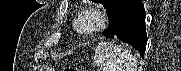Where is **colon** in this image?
Wrapping results in <instances>:
<instances>
[{
	"label": "colon",
	"mask_w": 181,
	"mask_h": 71,
	"mask_svg": "<svg viewBox=\"0 0 181 71\" xmlns=\"http://www.w3.org/2000/svg\"><path fill=\"white\" fill-rule=\"evenodd\" d=\"M64 70L65 71H82V69H78V68L73 67V66H67Z\"/></svg>",
	"instance_id": "1"
}]
</instances>
